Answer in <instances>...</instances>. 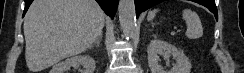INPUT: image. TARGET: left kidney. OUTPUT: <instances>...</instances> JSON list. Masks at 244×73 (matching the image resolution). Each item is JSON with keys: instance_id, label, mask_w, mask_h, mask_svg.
<instances>
[{"instance_id": "obj_1", "label": "left kidney", "mask_w": 244, "mask_h": 73, "mask_svg": "<svg viewBox=\"0 0 244 73\" xmlns=\"http://www.w3.org/2000/svg\"><path fill=\"white\" fill-rule=\"evenodd\" d=\"M166 54L167 56H173L176 63L170 69L165 71L159 64V55ZM148 65L152 73H190L191 63L188 57L183 51L177 49L174 45L162 41L160 39H154L150 42L148 49Z\"/></svg>"}]
</instances>
